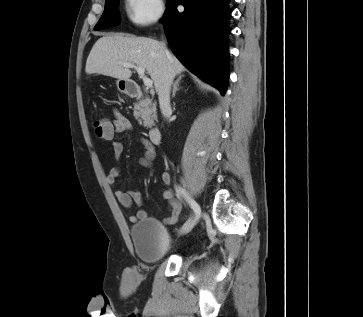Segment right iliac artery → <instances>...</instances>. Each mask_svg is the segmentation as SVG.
Returning <instances> with one entry per match:
<instances>
[{
  "label": "right iliac artery",
  "mask_w": 363,
  "mask_h": 317,
  "mask_svg": "<svg viewBox=\"0 0 363 317\" xmlns=\"http://www.w3.org/2000/svg\"><path fill=\"white\" fill-rule=\"evenodd\" d=\"M178 192L186 199V201L189 203V205L191 206V208L193 209V211L195 212L197 219L200 216V207L199 205L192 200L189 196H187V194L185 193L184 189L182 188H178Z\"/></svg>",
  "instance_id": "82829eb1"
}]
</instances>
